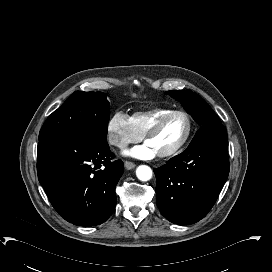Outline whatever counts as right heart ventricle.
<instances>
[{
	"instance_id": "1",
	"label": "right heart ventricle",
	"mask_w": 272,
	"mask_h": 272,
	"mask_svg": "<svg viewBox=\"0 0 272 272\" xmlns=\"http://www.w3.org/2000/svg\"><path fill=\"white\" fill-rule=\"evenodd\" d=\"M171 112L168 109H157L154 111L140 112L133 115L132 120L136 126L142 130H147L157 118L162 115Z\"/></svg>"
}]
</instances>
